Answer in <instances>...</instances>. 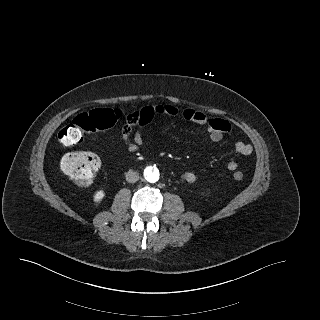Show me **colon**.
<instances>
[{
    "instance_id": "obj_1",
    "label": "colon",
    "mask_w": 320,
    "mask_h": 320,
    "mask_svg": "<svg viewBox=\"0 0 320 320\" xmlns=\"http://www.w3.org/2000/svg\"><path fill=\"white\" fill-rule=\"evenodd\" d=\"M121 112L114 108H95L75 117L71 123L60 129L58 138L61 143L73 145L82 140L85 132L108 129L120 118ZM137 124H145L148 118L136 120ZM63 172L77 185L89 186L99 170L98 157L90 152H73L67 154L62 162ZM237 181L242 180L243 174L236 172L233 175Z\"/></svg>"
}]
</instances>
